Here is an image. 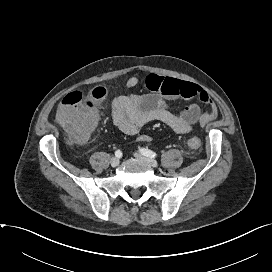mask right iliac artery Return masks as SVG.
<instances>
[{"label": "right iliac artery", "mask_w": 272, "mask_h": 272, "mask_svg": "<svg viewBox=\"0 0 272 272\" xmlns=\"http://www.w3.org/2000/svg\"><path fill=\"white\" fill-rule=\"evenodd\" d=\"M115 156L118 157V158H121L122 157V152L120 150H117L115 152Z\"/></svg>", "instance_id": "obj_1"}]
</instances>
